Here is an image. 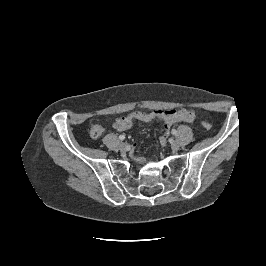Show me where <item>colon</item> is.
<instances>
[{"label": "colon", "instance_id": "obj_1", "mask_svg": "<svg viewBox=\"0 0 266 266\" xmlns=\"http://www.w3.org/2000/svg\"><path fill=\"white\" fill-rule=\"evenodd\" d=\"M201 125L206 130H210L212 127V125L209 122H202Z\"/></svg>", "mask_w": 266, "mask_h": 266}]
</instances>
